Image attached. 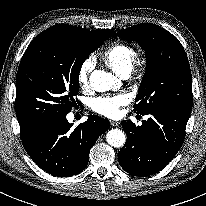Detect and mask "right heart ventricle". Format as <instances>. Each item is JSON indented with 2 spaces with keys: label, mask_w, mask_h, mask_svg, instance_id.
I'll list each match as a JSON object with an SVG mask.
<instances>
[{
  "label": "right heart ventricle",
  "mask_w": 206,
  "mask_h": 206,
  "mask_svg": "<svg viewBox=\"0 0 206 206\" xmlns=\"http://www.w3.org/2000/svg\"><path fill=\"white\" fill-rule=\"evenodd\" d=\"M106 64L118 75L133 69L137 52L129 44L116 42L110 45L102 54Z\"/></svg>",
  "instance_id": "right-heart-ventricle-1"
}]
</instances>
